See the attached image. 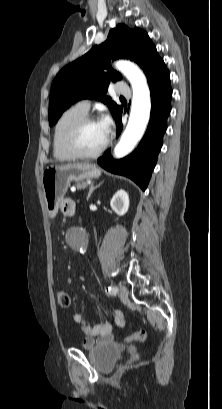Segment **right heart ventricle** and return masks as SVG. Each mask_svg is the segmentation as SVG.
Instances as JSON below:
<instances>
[{
    "label": "right heart ventricle",
    "mask_w": 222,
    "mask_h": 409,
    "mask_svg": "<svg viewBox=\"0 0 222 409\" xmlns=\"http://www.w3.org/2000/svg\"><path fill=\"white\" fill-rule=\"evenodd\" d=\"M86 115L87 112L81 110L76 105L68 108L61 114L55 124L53 133V156L55 159L59 161L75 159L67 149L66 138L73 125Z\"/></svg>",
    "instance_id": "right-heart-ventricle-1"
}]
</instances>
